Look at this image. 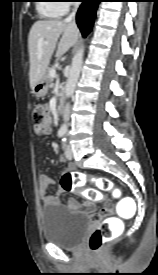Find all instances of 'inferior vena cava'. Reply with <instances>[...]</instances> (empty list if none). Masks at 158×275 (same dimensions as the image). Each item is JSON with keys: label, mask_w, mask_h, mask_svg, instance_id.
Returning <instances> with one entry per match:
<instances>
[{"label": "inferior vena cava", "mask_w": 158, "mask_h": 275, "mask_svg": "<svg viewBox=\"0 0 158 275\" xmlns=\"http://www.w3.org/2000/svg\"><path fill=\"white\" fill-rule=\"evenodd\" d=\"M77 7L78 5H75V10L71 13V15H69L66 19H65V22H72V20L74 19L75 17V14H76V10H77ZM63 117H64V120L67 121L68 118H69V104H67L65 106V109L63 111Z\"/></svg>", "instance_id": "602c4592"}]
</instances>
